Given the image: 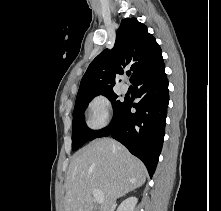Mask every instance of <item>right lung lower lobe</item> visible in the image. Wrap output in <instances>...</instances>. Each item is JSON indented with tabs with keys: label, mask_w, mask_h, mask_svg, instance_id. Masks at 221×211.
Wrapping results in <instances>:
<instances>
[{
	"label": "right lung lower lobe",
	"mask_w": 221,
	"mask_h": 211,
	"mask_svg": "<svg viewBox=\"0 0 221 211\" xmlns=\"http://www.w3.org/2000/svg\"><path fill=\"white\" fill-rule=\"evenodd\" d=\"M140 102L125 99L111 123L97 137L111 135L155 172L165 135L169 103L168 80L164 64L138 76L133 82ZM138 86V88H137ZM131 107L136 109L131 113Z\"/></svg>",
	"instance_id": "obj_1"
}]
</instances>
